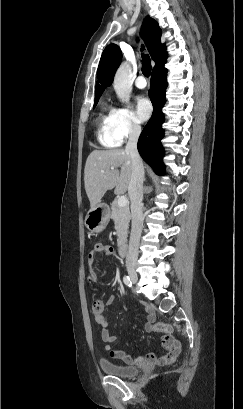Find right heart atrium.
Wrapping results in <instances>:
<instances>
[{
    "label": "right heart atrium",
    "instance_id": "d8ad5b80",
    "mask_svg": "<svg viewBox=\"0 0 243 409\" xmlns=\"http://www.w3.org/2000/svg\"><path fill=\"white\" fill-rule=\"evenodd\" d=\"M109 124L113 135L120 142L136 135L140 130L139 125L133 119L131 111L124 106L112 109Z\"/></svg>",
    "mask_w": 243,
    "mask_h": 409
}]
</instances>
